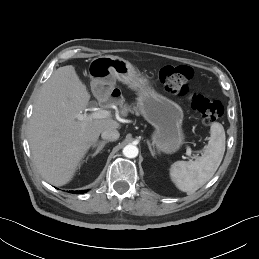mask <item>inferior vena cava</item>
Masks as SVG:
<instances>
[{
    "mask_svg": "<svg viewBox=\"0 0 259 259\" xmlns=\"http://www.w3.org/2000/svg\"><path fill=\"white\" fill-rule=\"evenodd\" d=\"M120 134L116 129H106L102 132L101 137L107 141H116Z\"/></svg>",
    "mask_w": 259,
    "mask_h": 259,
    "instance_id": "602c4592",
    "label": "inferior vena cava"
}]
</instances>
